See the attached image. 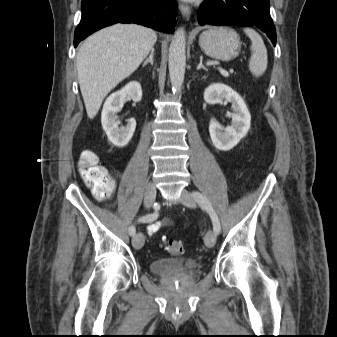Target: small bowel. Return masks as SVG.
Returning <instances> with one entry per match:
<instances>
[{"label":"small bowel","instance_id":"small-bowel-1","mask_svg":"<svg viewBox=\"0 0 337 337\" xmlns=\"http://www.w3.org/2000/svg\"><path fill=\"white\" fill-rule=\"evenodd\" d=\"M164 221H165V222H169V219L166 218ZM160 224H161V222H156V223L150 224V225L147 227L148 234H149V235H152L153 233H155V232L158 230Z\"/></svg>","mask_w":337,"mask_h":337}]
</instances>
